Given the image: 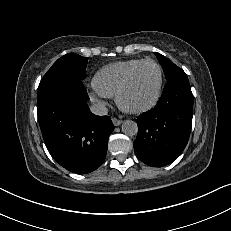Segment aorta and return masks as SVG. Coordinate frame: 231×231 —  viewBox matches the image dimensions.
Wrapping results in <instances>:
<instances>
[{
  "label": "aorta",
  "mask_w": 231,
  "mask_h": 231,
  "mask_svg": "<svg viewBox=\"0 0 231 231\" xmlns=\"http://www.w3.org/2000/svg\"><path fill=\"white\" fill-rule=\"evenodd\" d=\"M122 132L128 136H134L138 132L137 123L132 120H126L122 124Z\"/></svg>",
  "instance_id": "aorta-1"
}]
</instances>
